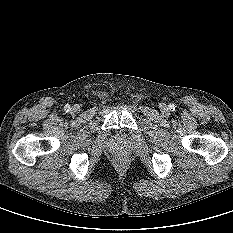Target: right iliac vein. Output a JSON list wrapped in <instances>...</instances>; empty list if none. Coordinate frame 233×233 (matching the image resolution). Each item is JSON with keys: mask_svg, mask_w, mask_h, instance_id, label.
I'll return each instance as SVG.
<instances>
[{"mask_svg": "<svg viewBox=\"0 0 233 233\" xmlns=\"http://www.w3.org/2000/svg\"><path fill=\"white\" fill-rule=\"evenodd\" d=\"M80 111V107L78 105H73L71 108L72 114H77Z\"/></svg>", "mask_w": 233, "mask_h": 233, "instance_id": "right-iliac-vein-1", "label": "right iliac vein"}]
</instances>
